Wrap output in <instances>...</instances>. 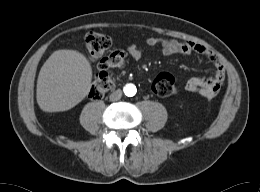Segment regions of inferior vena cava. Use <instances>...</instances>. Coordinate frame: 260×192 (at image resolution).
<instances>
[{
  "instance_id": "602c4592",
  "label": "inferior vena cava",
  "mask_w": 260,
  "mask_h": 192,
  "mask_svg": "<svg viewBox=\"0 0 260 192\" xmlns=\"http://www.w3.org/2000/svg\"><path fill=\"white\" fill-rule=\"evenodd\" d=\"M122 97V91L121 90H116L113 93L110 94V101H118Z\"/></svg>"
}]
</instances>
